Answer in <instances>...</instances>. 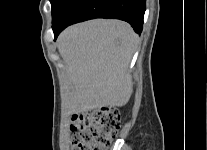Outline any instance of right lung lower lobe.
<instances>
[{"label":"right lung lower lobe","instance_id":"right-lung-lower-lobe-1","mask_svg":"<svg viewBox=\"0 0 207 150\" xmlns=\"http://www.w3.org/2000/svg\"><path fill=\"white\" fill-rule=\"evenodd\" d=\"M146 0H69L52 21L55 38L67 26L94 18H115L128 22L141 33Z\"/></svg>","mask_w":207,"mask_h":150}]
</instances>
